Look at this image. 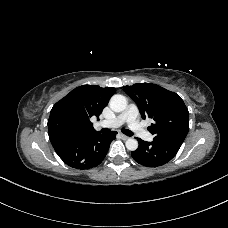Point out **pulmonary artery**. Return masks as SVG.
<instances>
[{"label":"pulmonary artery","mask_w":228,"mask_h":228,"mask_svg":"<svg viewBox=\"0 0 228 228\" xmlns=\"http://www.w3.org/2000/svg\"><path fill=\"white\" fill-rule=\"evenodd\" d=\"M139 111L135 104H130L127 109L119 114L118 116L110 119L100 121L99 126L103 127H118L123 123H127L129 128L137 135L138 137L151 141L152 135L144 129V127L138 121Z\"/></svg>","instance_id":"obj_1"}]
</instances>
